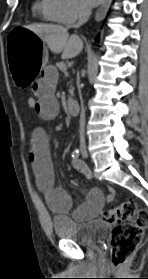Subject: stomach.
Returning <instances> with one entry per match:
<instances>
[{"instance_id":"0dacf381","label":"stomach","mask_w":148,"mask_h":279,"mask_svg":"<svg viewBox=\"0 0 148 279\" xmlns=\"http://www.w3.org/2000/svg\"><path fill=\"white\" fill-rule=\"evenodd\" d=\"M5 55H10V75L16 91H29L35 87L38 72L48 61V51L44 41L29 30V25H16V30H8L4 40Z\"/></svg>"}]
</instances>
